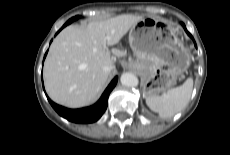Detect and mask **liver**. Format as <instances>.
I'll list each match as a JSON object with an SVG mask.
<instances>
[{
    "label": "liver",
    "mask_w": 230,
    "mask_h": 155,
    "mask_svg": "<svg viewBox=\"0 0 230 155\" xmlns=\"http://www.w3.org/2000/svg\"><path fill=\"white\" fill-rule=\"evenodd\" d=\"M142 19V16L123 14L90 22L85 28H64L54 39L44 64L49 97L70 108L93 102L104 89L110 74L103 67L113 63L107 46L117 44Z\"/></svg>",
    "instance_id": "liver-1"
}]
</instances>
